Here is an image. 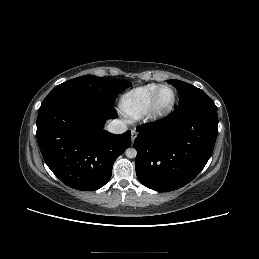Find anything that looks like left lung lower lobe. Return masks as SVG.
<instances>
[{"instance_id":"left-lung-lower-lobe-1","label":"left lung lower lobe","mask_w":259,"mask_h":259,"mask_svg":"<svg viewBox=\"0 0 259 259\" xmlns=\"http://www.w3.org/2000/svg\"><path fill=\"white\" fill-rule=\"evenodd\" d=\"M136 175L146 187L173 191L192 181L208 162L218 133L217 107L175 109L138 128Z\"/></svg>"}]
</instances>
